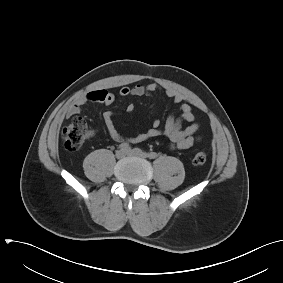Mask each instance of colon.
Here are the masks:
<instances>
[{"instance_id":"5ec220e1","label":"colon","mask_w":283,"mask_h":283,"mask_svg":"<svg viewBox=\"0 0 283 283\" xmlns=\"http://www.w3.org/2000/svg\"><path fill=\"white\" fill-rule=\"evenodd\" d=\"M89 133L87 123L81 118L76 117L63 128L62 138L64 146L69 151L78 150ZM207 160L204 152H197L193 157V163L195 165H203Z\"/></svg>"}]
</instances>
